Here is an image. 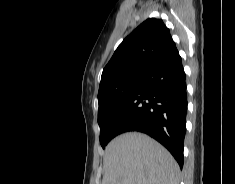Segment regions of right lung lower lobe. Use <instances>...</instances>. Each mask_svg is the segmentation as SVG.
Masks as SVG:
<instances>
[{
	"label": "right lung lower lobe",
	"mask_w": 235,
	"mask_h": 184,
	"mask_svg": "<svg viewBox=\"0 0 235 184\" xmlns=\"http://www.w3.org/2000/svg\"><path fill=\"white\" fill-rule=\"evenodd\" d=\"M185 79L177 51L143 78L117 118L114 134L146 133L166 147L182 168L187 113Z\"/></svg>",
	"instance_id": "98d812e1"
}]
</instances>
